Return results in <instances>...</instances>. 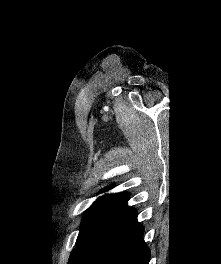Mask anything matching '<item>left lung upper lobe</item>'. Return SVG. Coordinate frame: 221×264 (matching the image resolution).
I'll return each mask as SVG.
<instances>
[{"label": "left lung upper lobe", "instance_id": "1", "mask_svg": "<svg viewBox=\"0 0 221 264\" xmlns=\"http://www.w3.org/2000/svg\"><path fill=\"white\" fill-rule=\"evenodd\" d=\"M107 187L106 189H108ZM128 193H115L98 198L85 212L81 223V230L77 238L78 245L83 238L97 225L111 210L117 207L125 199Z\"/></svg>", "mask_w": 221, "mask_h": 264}]
</instances>
